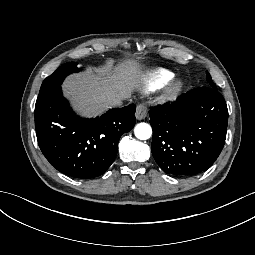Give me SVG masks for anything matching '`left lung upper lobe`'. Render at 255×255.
Masks as SVG:
<instances>
[{
  "label": "left lung upper lobe",
  "instance_id": "1",
  "mask_svg": "<svg viewBox=\"0 0 255 255\" xmlns=\"http://www.w3.org/2000/svg\"><path fill=\"white\" fill-rule=\"evenodd\" d=\"M206 73H207V81H208L209 85H210L211 87H213V88H216V85H215L214 82L212 81L211 76H210V74L208 73V71H206Z\"/></svg>",
  "mask_w": 255,
  "mask_h": 255
}]
</instances>
